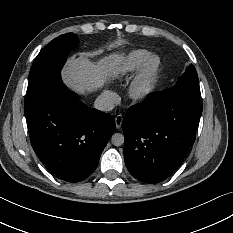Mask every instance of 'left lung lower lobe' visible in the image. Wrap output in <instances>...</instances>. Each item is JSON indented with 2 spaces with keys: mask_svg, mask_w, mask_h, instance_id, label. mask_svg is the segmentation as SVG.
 Wrapping results in <instances>:
<instances>
[{
  "mask_svg": "<svg viewBox=\"0 0 233 233\" xmlns=\"http://www.w3.org/2000/svg\"><path fill=\"white\" fill-rule=\"evenodd\" d=\"M200 99L152 93L128 109L122 129L124 159L136 179L158 183L180 165L196 138Z\"/></svg>",
  "mask_w": 233,
  "mask_h": 233,
  "instance_id": "left-lung-lower-lobe-1",
  "label": "left lung lower lobe"
}]
</instances>
